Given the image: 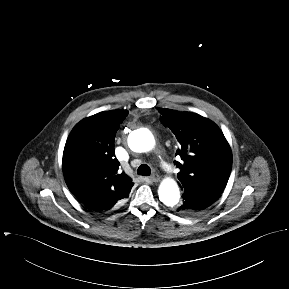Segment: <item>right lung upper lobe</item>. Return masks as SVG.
Segmentation results:
<instances>
[{
    "instance_id": "cb5924a9",
    "label": "right lung upper lobe",
    "mask_w": 289,
    "mask_h": 289,
    "mask_svg": "<svg viewBox=\"0 0 289 289\" xmlns=\"http://www.w3.org/2000/svg\"><path fill=\"white\" fill-rule=\"evenodd\" d=\"M126 110L100 112L80 121L63 152V173L69 190L89 209L107 211L129 196L134 183L120 172L114 139Z\"/></svg>"
}]
</instances>
